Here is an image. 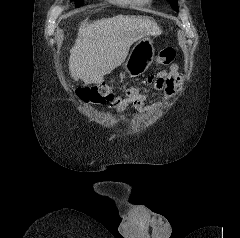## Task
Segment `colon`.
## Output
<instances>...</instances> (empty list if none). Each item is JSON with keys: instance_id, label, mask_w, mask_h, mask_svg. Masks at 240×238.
<instances>
[{"instance_id": "5ec220e1", "label": "colon", "mask_w": 240, "mask_h": 238, "mask_svg": "<svg viewBox=\"0 0 240 238\" xmlns=\"http://www.w3.org/2000/svg\"><path fill=\"white\" fill-rule=\"evenodd\" d=\"M175 57L176 52L173 48H164L159 52L157 62L162 65H169ZM76 94L84 102L104 104L112 101L113 87L108 83L90 85L78 88Z\"/></svg>"}]
</instances>
